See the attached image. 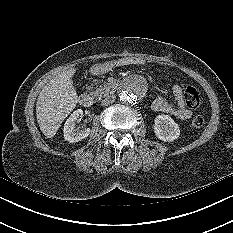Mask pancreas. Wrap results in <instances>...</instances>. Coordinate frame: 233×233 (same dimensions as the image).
Segmentation results:
<instances>
[{"mask_svg": "<svg viewBox=\"0 0 233 233\" xmlns=\"http://www.w3.org/2000/svg\"><path fill=\"white\" fill-rule=\"evenodd\" d=\"M115 86L109 83L104 82L103 84L97 85L95 90L91 92V95L96 99H101L110 92L115 90Z\"/></svg>", "mask_w": 233, "mask_h": 233, "instance_id": "cf45deb5", "label": "pancreas"}]
</instances>
